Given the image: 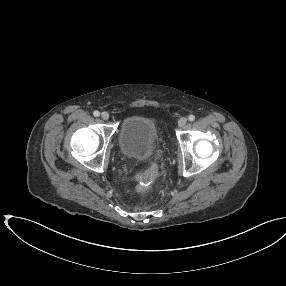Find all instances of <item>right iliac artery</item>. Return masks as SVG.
Listing matches in <instances>:
<instances>
[{
	"label": "right iliac artery",
	"mask_w": 286,
	"mask_h": 286,
	"mask_svg": "<svg viewBox=\"0 0 286 286\" xmlns=\"http://www.w3.org/2000/svg\"><path fill=\"white\" fill-rule=\"evenodd\" d=\"M93 115H94L95 117H98V116L100 115V113H99V111L96 110V111L93 112Z\"/></svg>",
	"instance_id": "obj_1"
}]
</instances>
